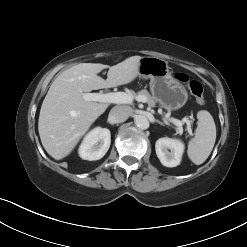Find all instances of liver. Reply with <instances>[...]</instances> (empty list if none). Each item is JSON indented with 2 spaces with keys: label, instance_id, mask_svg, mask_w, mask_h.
Segmentation results:
<instances>
[{
  "label": "liver",
  "instance_id": "obj_1",
  "mask_svg": "<svg viewBox=\"0 0 247 247\" xmlns=\"http://www.w3.org/2000/svg\"><path fill=\"white\" fill-rule=\"evenodd\" d=\"M141 58L132 56L114 66L80 63L53 81L38 121L42 145L50 156L60 160L69 155L92 123L108 108L106 103L85 101L82 94L132 82L139 75ZM106 68L109 70L104 80L98 73Z\"/></svg>",
  "mask_w": 247,
  "mask_h": 247
}]
</instances>
